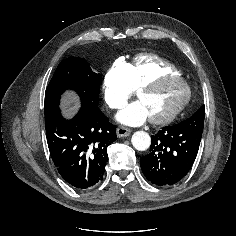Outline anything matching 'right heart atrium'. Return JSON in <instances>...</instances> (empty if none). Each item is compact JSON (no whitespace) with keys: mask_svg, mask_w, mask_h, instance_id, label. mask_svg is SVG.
Masks as SVG:
<instances>
[{"mask_svg":"<svg viewBox=\"0 0 236 236\" xmlns=\"http://www.w3.org/2000/svg\"><path fill=\"white\" fill-rule=\"evenodd\" d=\"M128 74L129 64L123 60L115 61L104 74L102 92L109 107L113 109L123 107L132 95Z\"/></svg>","mask_w":236,"mask_h":236,"instance_id":"right-heart-atrium-1","label":"right heart atrium"}]
</instances>
